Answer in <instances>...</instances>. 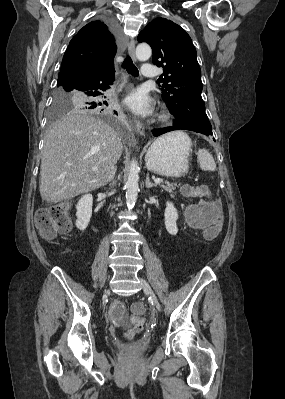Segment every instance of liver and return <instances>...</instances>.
<instances>
[{
	"mask_svg": "<svg viewBox=\"0 0 285 399\" xmlns=\"http://www.w3.org/2000/svg\"><path fill=\"white\" fill-rule=\"evenodd\" d=\"M122 150L113 128L72 110L47 134L40 167L42 200L58 203L106 185Z\"/></svg>",
	"mask_w": 285,
	"mask_h": 399,
	"instance_id": "6515ba94",
	"label": "liver"
}]
</instances>
